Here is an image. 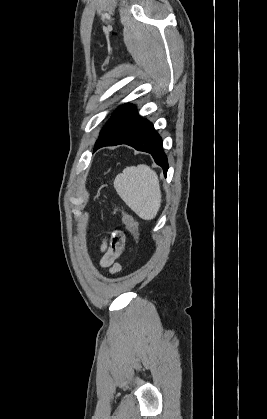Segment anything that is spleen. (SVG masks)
<instances>
[{
  "instance_id": "obj_1",
  "label": "spleen",
  "mask_w": 267,
  "mask_h": 419,
  "mask_svg": "<svg viewBox=\"0 0 267 419\" xmlns=\"http://www.w3.org/2000/svg\"><path fill=\"white\" fill-rule=\"evenodd\" d=\"M121 199L143 220L156 217L161 205L158 176L145 164L126 167L114 180Z\"/></svg>"
}]
</instances>
